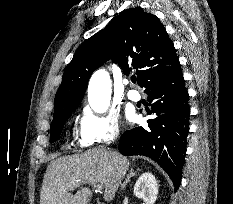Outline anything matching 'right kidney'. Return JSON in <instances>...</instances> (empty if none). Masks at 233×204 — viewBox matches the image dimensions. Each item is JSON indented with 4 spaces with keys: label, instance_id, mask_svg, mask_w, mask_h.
Here are the masks:
<instances>
[{
    "label": "right kidney",
    "instance_id": "ca27d5eb",
    "mask_svg": "<svg viewBox=\"0 0 233 204\" xmlns=\"http://www.w3.org/2000/svg\"><path fill=\"white\" fill-rule=\"evenodd\" d=\"M134 195L144 201V204H154L158 195V183L150 172L143 173L135 183Z\"/></svg>",
    "mask_w": 233,
    "mask_h": 204
}]
</instances>
